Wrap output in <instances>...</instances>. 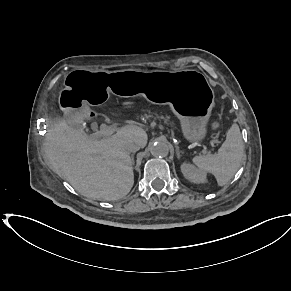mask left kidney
<instances>
[{
    "label": "left kidney",
    "mask_w": 291,
    "mask_h": 291,
    "mask_svg": "<svg viewBox=\"0 0 291 291\" xmlns=\"http://www.w3.org/2000/svg\"><path fill=\"white\" fill-rule=\"evenodd\" d=\"M181 171L186 179L193 183H206V173L200 169L195 168L192 164L183 163Z\"/></svg>",
    "instance_id": "left-kidney-1"
}]
</instances>
